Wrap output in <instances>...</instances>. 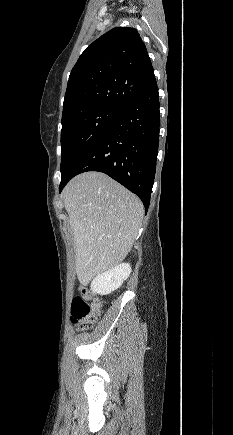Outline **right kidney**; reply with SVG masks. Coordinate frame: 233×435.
<instances>
[{"instance_id": "1", "label": "right kidney", "mask_w": 233, "mask_h": 435, "mask_svg": "<svg viewBox=\"0 0 233 435\" xmlns=\"http://www.w3.org/2000/svg\"><path fill=\"white\" fill-rule=\"evenodd\" d=\"M131 271L130 264L122 263L98 275L91 283L92 292L100 295L110 294L122 285Z\"/></svg>"}]
</instances>
